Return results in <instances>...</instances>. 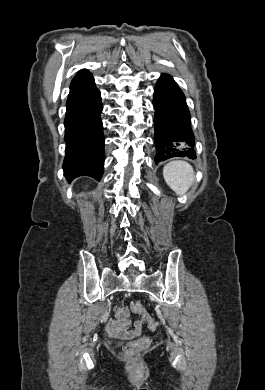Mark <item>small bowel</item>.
<instances>
[{"mask_svg": "<svg viewBox=\"0 0 265 390\" xmlns=\"http://www.w3.org/2000/svg\"><path fill=\"white\" fill-rule=\"evenodd\" d=\"M142 322L136 320L134 322V329H130L131 322L128 319L110 320L107 323V331L112 335L131 338L141 331Z\"/></svg>", "mask_w": 265, "mask_h": 390, "instance_id": "c3829d8e", "label": "small bowel"}]
</instances>
